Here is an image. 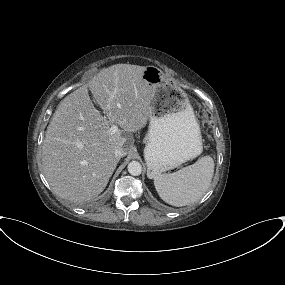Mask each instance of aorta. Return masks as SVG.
<instances>
[{
  "instance_id": "762f6f07",
  "label": "aorta",
  "mask_w": 285,
  "mask_h": 285,
  "mask_svg": "<svg viewBox=\"0 0 285 285\" xmlns=\"http://www.w3.org/2000/svg\"><path fill=\"white\" fill-rule=\"evenodd\" d=\"M127 168L128 172L133 176H138L142 172V165L138 161H131Z\"/></svg>"
}]
</instances>
